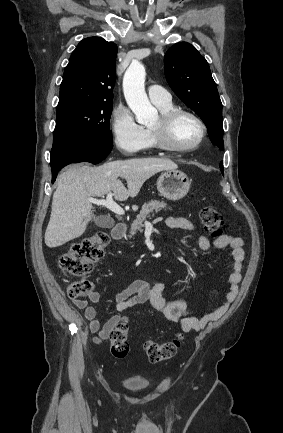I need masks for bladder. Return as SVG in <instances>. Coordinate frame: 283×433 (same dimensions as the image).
Listing matches in <instances>:
<instances>
[{
    "label": "bladder",
    "instance_id": "bladder-1",
    "mask_svg": "<svg viewBox=\"0 0 283 433\" xmlns=\"http://www.w3.org/2000/svg\"><path fill=\"white\" fill-rule=\"evenodd\" d=\"M121 384L123 386H127L130 389L136 391V390H142L146 388L148 384V380L139 376H130L126 379L122 380Z\"/></svg>",
    "mask_w": 283,
    "mask_h": 433
}]
</instances>
